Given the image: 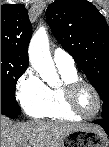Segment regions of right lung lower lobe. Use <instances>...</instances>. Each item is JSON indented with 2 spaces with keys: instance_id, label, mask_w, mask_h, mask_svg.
<instances>
[{
  "instance_id": "right-lung-lower-lobe-1",
  "label": "right lung lower lobe",
  "mask_w": 109,
  "mask_h": 147,
  "mask_svg": "<svg viewBox=\"0 0 109 147\" xmlns=\"http://www.w3.org/2000/svg\"><path fill=\"white\" fill-rule=\"evenodd\" d=\"M1 114L6 115L10 118H18L19 117V115H15V114L9 112L8 109L6 107H4L3 105H1Z\"/></svg>"
}]
</instances>
